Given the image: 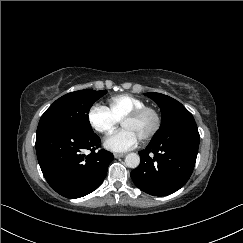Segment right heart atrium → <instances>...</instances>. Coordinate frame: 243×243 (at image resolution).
Segmentation results:
<instances>
[{
    "mask_svg": "<svg viewBox=\"0 0 243 243\" xmlns=\"http://www.w3.org/2000/svg\"><path fill=\"white\" fill-rule=\"evenodd\" d=\"M87 120L89 125L101 134L111 132L119 122L109 108L100 104H94L89 108Z\"/></svg>",
    "mask_w": 243,
    "mask_h": 243,
    "instance_id": "obj_1",
    "label": "right heart atrium"
}]
</instances>
